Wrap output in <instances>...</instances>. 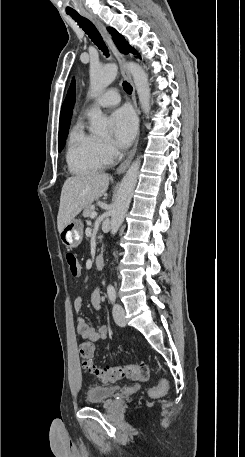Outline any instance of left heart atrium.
Here are the masks:
<instances>
[{
    "label": "left heart atrium",
    "mask_w": 245,
    "mask_h": 457,
    "mask_svg": "<svg viewBox=\"0 0 245 457\" xmlns=\"http://www.w3.org/2000/svg\"><path fill=\"white\" fill-rule=\"evenodd\" d=\"M111 120L116 143L122 147L130 144L137 129V119L132 110L119 108L111 115Z\"/></svg>",
    "instance_id": "1"
}]
</instances>
